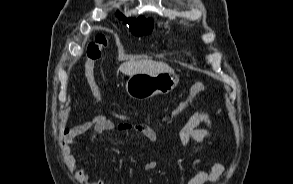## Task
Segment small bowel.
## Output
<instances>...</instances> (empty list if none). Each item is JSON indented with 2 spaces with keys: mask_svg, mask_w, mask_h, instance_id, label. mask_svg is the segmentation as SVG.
<instances>
[{
  "mask_svg": "<svg viewBox=\"0 0 293 184\" xmlns=\"http://www.w3.org/2000/svg\"><path fill=\"white\" fill-rule=\"evenodd\" d=\"M203 125V127H201ZM134 132L141 134L149 141L155 143L157 135L146 123L121 122L115 124L112 120L103 115H96L82 123L73 125L64 130L62 138L64 142V159L69 170L74 174L76 182L81 184H107L106 179L98 178L92 180L87 169L74 156V141L83 135L89 140H94L104 132ZM179 138L184 146H198L203 142L213 144L212 121L204 112H197L189 117L179 131ZM194 167L197 173L189 179L186 184H206L215 182L223 173L224 166L220 163L206 169L198 158L194 159ZM157 166V160L148 162L144 169L153 170Z\"/></svg>",
  "mask_w": 293,
  "mask_h": 184,
  "instance_id": "small-bowel-1",
  "label": "small bowel"
}]
</instances>
